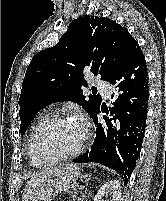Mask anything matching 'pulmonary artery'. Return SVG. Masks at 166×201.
<instances>
[{"label":"pulmonary artery","mask_w":166,"mask_h":201,"mask_svg":"<svg viewBox=\"0 0 166 201\" xmlns=\"http://www.w3.org/2000/svg\"><path fill=\"white\" fill-rule=\"evenodd\" d=\"M98 90L105 96L109 97L110 95V87L108 83L102 82V81H96L95 82Z\"/></svg>","instance_id":"pulmonary-artery-1"}]
</instances>
